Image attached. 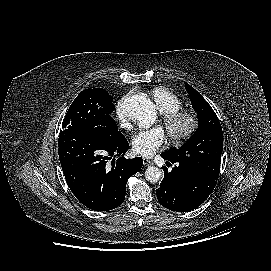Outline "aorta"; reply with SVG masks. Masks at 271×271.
I'll list each match as a JSON object with an SVG mask.
<instances>
[{"label":"aorta","mask_w":271,"mask_h":271,"mask_svg":"<svg viewBox=\"0 0 271 271\" xmlns=\"http://www.w3.org/2000/svg\"><path fill=\"white\" fill-rule=\"evenodd\" d=\"M128 117L143 127H150L156 119L154 103L146 95H134L128 100ZM162 177V171L158 167L151 166L145 171V178L150 183L158 182Z\"/></svg>","instance_id":"1"}]
</instances>
